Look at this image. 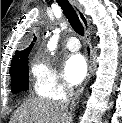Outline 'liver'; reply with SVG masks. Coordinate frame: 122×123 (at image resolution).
Masks as SVG:
<instances>
[{
	"mask_svg": "<svg viewBox=\"0 0 122 123\" xmlns=\"http://www.w3.org/2000/svg\"><path fill=\"white\" fill-rule=\"evenodd\" d=\"M71 117L57 102L33 97L14 112L10 123H69Z\"/></svg>",
	"mask_w": 122,
	"mask_h": 123,
	"instance_id": "obj_1",
	"label": "liver"
}]
</instances>
